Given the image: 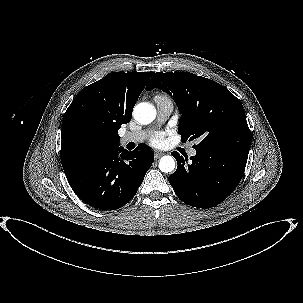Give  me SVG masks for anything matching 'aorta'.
<instances>
[{"label":"aorta","mask_w":303,"mask_h":303,"mask_svg":"<svg viewBox=\"0 0 303 303\" xmlns=\"http://www.w3.org/2000/svg\"><path fill=\"white\" fill-rule=\"evenodd\" d=\"M134 118L141 124H149L156 117V109L152 104L142 102L137 104L133 110ZM175 168V161L172 156H163L159 162V169L162 172H172Z\"/></svg>","instance_id":"obj_1"}]
</instances>
